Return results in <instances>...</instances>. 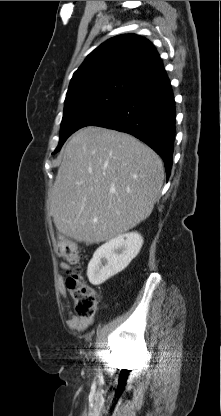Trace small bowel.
I'll use <instances>...</instances> for the list:
<instances>
[{
  "label": "small bowel",
  "mask_w": 221,
  "mask_h": 416,
  "mask_svg": "<svg viewBox=\"0 0 221 416\" xmlns=\"http://www.w3.org/2000/svg\"><path fill=\"white\" fill-rule=\"evenodd\" d=\"M60 267L65 271H69L71 269V266L66 262H62L60 264ZM58 286H59V291L63 300L62 308H63L64 313L68 316V320H67L68 327L72 330L84 331L92 324L94 318L93 317L80 318L74 315L70 311L69 302L67 301V288L64 282V277L62 275L58 277Z\"/></svg>",
  "instance_id": "obj_1"
}]
</instances>
